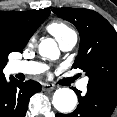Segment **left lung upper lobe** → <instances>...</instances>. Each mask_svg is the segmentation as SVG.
Wrapping results in <instances>:
<instances>
[{
  "label": "left lung upper lobe",
  "instance_id": "5c2ea615",
  "mask_svg": "<svg viewBox=\"0 0 117 117\" xmlns=\"http://www.w3.org/2000/svg\"><path fill=\"white\" fill-rule=\"evenodd\" d=\"M80 34L78 58L73 64L89 77L87 87L117 91V33L99 13L89 9L54 8Z\"/></svg>",
  "mask_w": 117,
  "mask_h": 117
}]
</instances>
